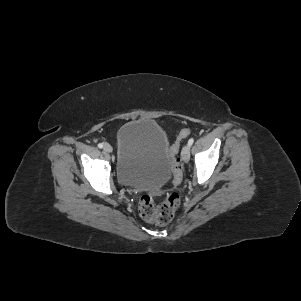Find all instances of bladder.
<instances>
[{"instance_id":"bladder-1","label":"bladder","mask_w":301,"mask_h":301,"mask_svg":"<svg viewBox=\"0 0 301 301\" xmlns=\"http://www.w3.org/2000/svg\"><path fill=\"white\" fill-rule=\"evenodd\" d=\"M116 176L128 187L145 189L162 186L169 178V139L152 120L125 123L117 134Z\"/></svg>"}]
</instances>
